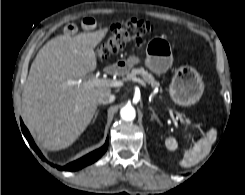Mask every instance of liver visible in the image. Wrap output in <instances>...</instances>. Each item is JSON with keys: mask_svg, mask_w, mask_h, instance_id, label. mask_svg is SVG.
Wrapping results in <instances>:
<instances>
[{"mask_svg": "<svg viewBox=\"0 0 245 195\" xmlns=\"http://www.w3.org/2000/svg\"><path fill=\"white\" fill-rule=\"evenodd\" d=\"M107 32L60 35L37 53L22 92V116L42 147L70 146L90 124L98 96L111 93V86H91L84 80L97 67L94 48ZM78 80L83 82L73 84Z\"/></svg>", "mask_w": 245, "mask_h": 195, "instance_id": "6515ba94", "label": "liver"}]
</instances>
